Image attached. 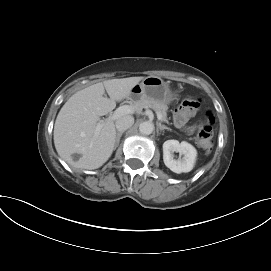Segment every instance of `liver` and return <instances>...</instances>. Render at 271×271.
Instances as JSON below:
<instances>
[{
    "label": "liver",
    "mask_w": 271,
    "mask_h": 271,
    "mask_svg": "<svg viewBox=\"0 0 271 271\" xmlns=\"http://www.w3.org/2000/svg\"><path fill=\"white\" fill-rule=\"evenodd\" d=\"M144 77L110 79L73 94L59 111L54 125V144L58 155L78 169L93 170L110 158L115 142L114 122L104 123L98 134L100 116L116 107V102L129 98L131 90ZM108 93L110 98L104 97ZM81 157L73 161L72 154Z\"/></svg>",
    "instance_id": "1"
}]
</instances>
